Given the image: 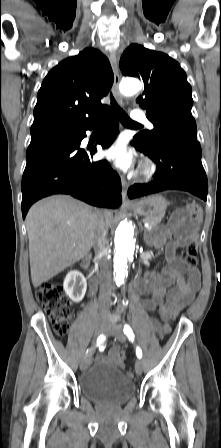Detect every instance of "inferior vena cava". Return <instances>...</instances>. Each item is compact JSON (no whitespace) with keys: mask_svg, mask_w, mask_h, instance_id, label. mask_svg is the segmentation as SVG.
<instances>
[{"mask_svg":"<svg viewBox=\"0 0 221 448\" xmlns=\"http://www.w3.org/2000/svg\"><path fill=\"white\" fill-rule=\"evenodd\" d=\"M108 225L104 219L102 211L98 212V220L96 226V233L93 243L95 255L99 258L100 265V289L102 292L110 289L111 286V267L107 259L109 251V242L107 240ZM109 297L102 296L100 309L103 313L109 312Z\"/></svg>","mask_w":221,"mask_h":448,"instance_id":"obj_1","label":"inferior vena cava"}]
</instances>
